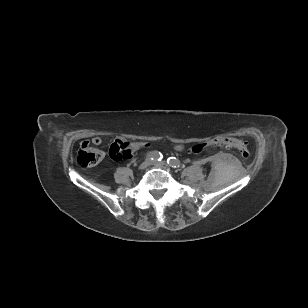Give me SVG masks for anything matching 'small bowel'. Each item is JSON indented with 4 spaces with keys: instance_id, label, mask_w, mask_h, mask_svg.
<instances>
[{
    "instance_id": "small-bowel-1",
    "label": "small bowel",
    "mask_w": 308,
    "mask_h": 308,
    "mask_svg": "<svg viewBox=\"0 0 308 308\" xmlns=\"http://www.w3.org/2000/svg\"><path fill=\"white\" fill-rule=\"evenodd\" d=\"M92 143H93L94 145H96V146L100 145V144L102 143L101 137L96 136V137L92 138ZM183 148H184V147H183L182 144H176V145L174 146V149L177 150V151H181V150H183Z\"/></svg>"
}]
</instances>
